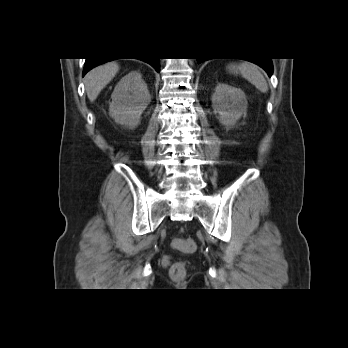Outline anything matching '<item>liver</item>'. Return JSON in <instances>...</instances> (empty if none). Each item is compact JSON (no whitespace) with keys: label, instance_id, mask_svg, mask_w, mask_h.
Masks as SVG:
<instances>
[{"label":"liver","instance_id":"1","mask_svg":"<svg viewBox=\"0 0 348 348\" xmlns=\"http://www.w3.org/2000/svg\"><path fill=\"white\" fill-rule=\"evenodd\" d=\"M118 71L119 65L115 61H111L87 73L85 88L91 102L96 100L101 90L115 77Z\"/></svg>","mask_w":348,"mask_h":348}]
</instances>
